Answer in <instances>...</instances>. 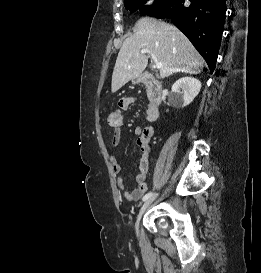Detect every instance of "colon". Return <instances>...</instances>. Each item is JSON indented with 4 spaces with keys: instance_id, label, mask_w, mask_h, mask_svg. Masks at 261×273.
<instances>
[{
    "instance_id": "5ec220e1",
    "label": "colon",
    "mask_w": 261,
    "mask_h": 273,
    "mask_svg": "<svg viewBox=\"0 0 261 273\" xmlns=\"http://www.w3.org/2000/svg\"><path fill=\"white\" fill-rule=\"evenodd\" d=\"M107 122L110 126L118 127L122 124V112L113 110L107 115Z\"/></svg>"
}]
</instances>
